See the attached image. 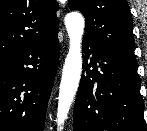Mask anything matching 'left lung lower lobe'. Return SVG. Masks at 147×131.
Instances as JSON below:
<instances>
[{"mask_svg": "<svg viewBox=\"0 0 147 131\" xmlns=\"http://www.w3.org/2000/svg\"><path fill=\"white\" fill-rule=\"evenodd\" d=\"M73 131H147L137 64L83 40Z\"/></svg>", "mask_w": 147, "mask_h": 131, "instance_id": "left-lung-lower-lobe-1", "label": "left lung lower lobe"}]
</instances>
